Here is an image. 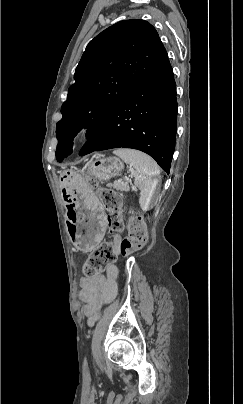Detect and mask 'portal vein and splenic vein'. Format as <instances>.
I'll return each mask as SVG.
<instances>
[{
    "label": "portal vein and splenic vein",
    "mask_w": 243,
    "mask_h": 404,
    "mask_svg": "<svg viewBox=\"0 0 243 404\" xmlns=\"http://www.w3.org/2000/svg\"><path fill=\"white\" fill-rule=\"evenodd\" d=\"M131 178H134V175H131Z\"/></svg>",
    "instance_id": "18ae733b"
}]
</instances>
